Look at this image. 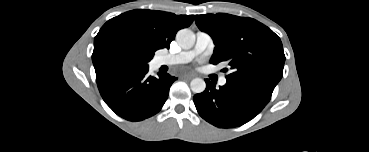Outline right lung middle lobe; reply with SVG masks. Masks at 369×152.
Here are the masks:
<instances>
[{
  "label": "right lung middle lobe",
  "instance_id": "dd1d6c3e",
  "mask_svg": "<svg viewBox=\"0 0 369 152\" xmlns=\"http://www.w3.org/2000/svg\"><path fill=\"white\" fill-rule=\"evenodd\" d=\"M154 54L148 53L131 44L109 45L104 40L94 44L92 61L96 72V81L110 77L118 72L147 68Z\"/></svg>",
  "mask_w": 369,
  "mask_h": 152
}]
</instances>
